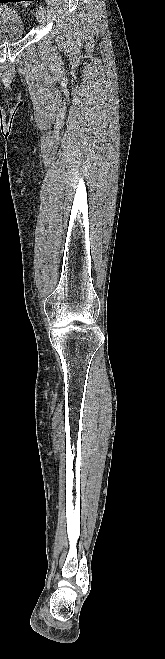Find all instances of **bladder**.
Returning a JSON list of instances; mask_svg holds the SVG:
<instances>
[{"instance_id": "obj_1", "label": "bladder", "mask_w": 165, "mask_h": 659, "mask_svg": "<svg viewBox=\"0 0 165 659\" xmlns=\"http://www.w3.org/2000/svg\"><path fill=\"white\" fill-rule=\"evenodd\" d=\"M24 23L14 10L0 6V41H9L24 36Z\"/></svg>"}]
</instances>
